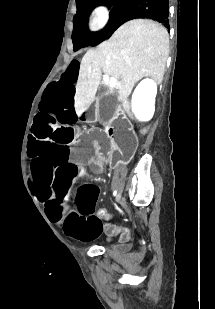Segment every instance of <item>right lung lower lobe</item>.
Wrapping results in <instances>:
<instances>
[{"label": "right lung lower lobe", "mask_w": 215, "mask_h": 309, "mask_svg": "<svg viewBox=\"0 0 215 309\" xmlns=\"http://www.w3.org/2000/svg\"><path fill=\"white\" fill-rule=\"evenodd\" d=\"M169 0H132L121 14L117 28L135 18H147L164 24L169 28Z\"/></svg>", "instance_id": "98d812e1"}]
</instances>
